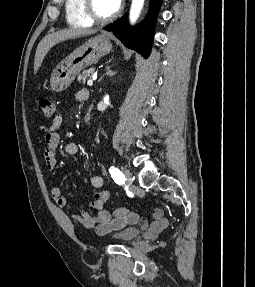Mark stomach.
I'll use <instances>...</instances> for the list:
<instances>
[{
	"label": "stomach",
	"mask_w": 255,
	"mask_h": 287,
	"mask_svg": "<svg viewBox=\"0 0 255 287\" xmlns=\"http://www.w3.org/2000/svg\"><path fill=\"white\" fill-rule=\"evenodd\" d=\"M110 38H113V36L100 34V36L90 38L88 42L76 48L67 60L68 64L66 70H63L64 74L63 72L58 74L55 70L51 78V90H54V92L66 90L81 70H85L91 64H96L99 58L109 54L110 50H112Z\"/></svg>",
	"instance_id": "0dacf381"
}]
</instances>
